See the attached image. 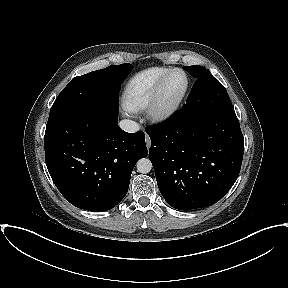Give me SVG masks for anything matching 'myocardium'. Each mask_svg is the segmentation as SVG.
<instances>
[{
    "label": "myocardium",
    "mask_w": 288,
    "mask_h": 288,
    "mask_svg": "<svg viewBox=\"0 0 288 288\" xmlns=\"http://www.w3.org/2000/svg\"><path fill=\"white\" fill-rule=\"evenodd\" d=\"M174 72H180L185 78L184 88L179 95V97L170 105H163L162 103V93L164 86L166 84L169 76ZM189 88V78L187 73L181 68H171L169 69L158 81L152 99L149 106L147 107V112L150 119L154 122H164L171 118L180 108Z\"/></svg>",
    "instance_id": "myocardium-1"
}]
</instances>
